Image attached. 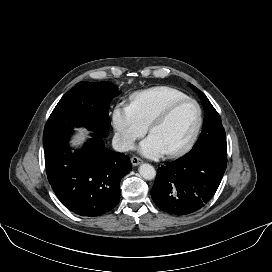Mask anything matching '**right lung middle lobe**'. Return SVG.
Segmentation results:
<instances>
[{"label": "right lung middle lobe", "mask_w": 272, "mask_h": 272, "mask_svg": "<svg viewBox=\"0 0 272 272\" xmlns=\"http://www.w3.org/2000/svg\"><path fill=\"white\" fill-rule=\"evenodd\" d=\"M121 91L109 82L81 81L68 91L51 113L43 133L44 147L73 127H86L104 137L110 128L109 105Z\"/></svg>", "instance_id": "dd1d6c3e"}]
</instances>
